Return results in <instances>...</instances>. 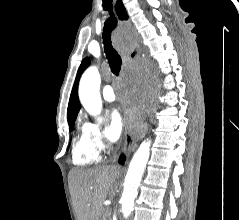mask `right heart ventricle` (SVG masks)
Returning <instances> with one entry per match:
<instances>
[{"label": "right heart ventricle", "instance_id": "right-heart-ventricle-1", "mask_svg": "<svg viewBox=\"0 0 239 220\" xmlns=\"http://www.w3.org/2000/svg\"><path fill=\"white\" fill-rule=\"evenodd\" d=\"M72 160L74 164L80 166H86L99 160V155L91 147L82 133L74 143L72 149Z\"/></svg>", "mask_w": 239, "mask_h": 220}]
</instances>
